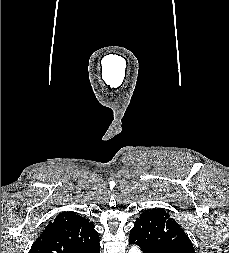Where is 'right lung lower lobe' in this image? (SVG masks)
I'll return each mask as SVG.
<instances>
[{"label": "right lung lower lobe", "instance_id": "98d812e1", "mask_svg": "<svg viewBox=\"0 0 229 253\" xmlns=\"http://www.w3.org/2000/svg\"><path fill=\"white\" fill-rule=\"evenodd\" d=\"M83 253H100V245L97 244L93 248H90L87 251H84Z\"/></svg>", "mask_w": 229, "mask_h": 253}]
</instances>
